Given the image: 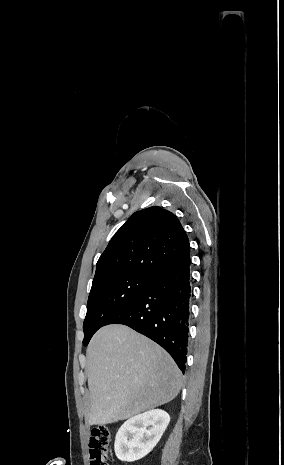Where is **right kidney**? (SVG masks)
<instances>
[{
  "instance_id": "right-kidney-1",
  "label": "right kidney",
  "mask_w": 284,
  "mask_h": 465,
  "mask_svg": "<svg viewBox=\"0 0 284 465\" xmlns=\"http://www.w3.org/2000/svg\"><path fill=\"white\" fill-rule=\"evenodd\" d=\"M169 421L168 413L161 409H152L125 421L115 439L117 459L132 463L148 455L160 441Z\"/></svg>"
}]
</instances>
